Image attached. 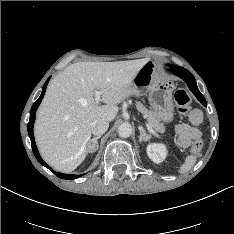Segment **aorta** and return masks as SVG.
Here are the masks:
<instances>
[{"label":"aorta","instance_id":"1","mask_svg":"<svg viewBox=\"0 0 234 234\" xmlns=\"http://www.w3.org/2000/svg\"><path fill=\"white\" fill-rule=\"evenodd\" d=\"M118 134L120 137L128 138L132 134V127L129 123H122L118 127Z\"/></svg>","mask_w":234,"mask_h":234}]
</instances>
